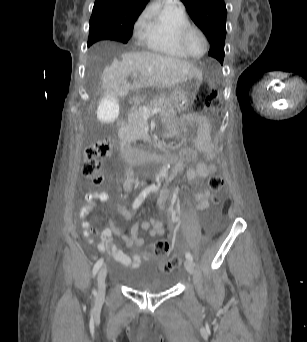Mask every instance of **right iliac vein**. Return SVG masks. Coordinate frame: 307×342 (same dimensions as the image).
<instances>
[{
    "label": "right iliac vein",
    "mask_w": 307,
    "mask_h": 342,
    "mask_svg": "<svg viewBox=\"0 0 307 342\" xmlns=\"http://www.w3.org/2000/svg\"><path fill=\"white\" fill-rule=\"evenodd\" d=\"M107 276V268L106 266L102 267L98 272L97 276V285H98V297L103 298L105 296L106 286L105 280Z\"/></svg>",
    "instance_id": "obj_1"
}]
</instances>
